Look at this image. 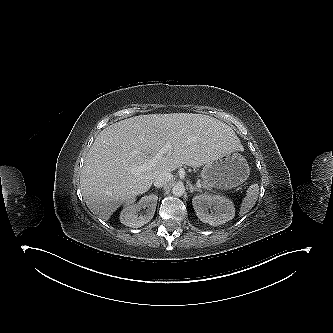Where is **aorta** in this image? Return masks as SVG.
Instances as JSON below:
<instances>
[{"label": "aorta", "instance_id": "1", "mask_svg": "<svg viewBox=\"0 0 333 333\" xmlns=\"http://www.w3.org/2000/svg\"><path fill=\"white\" fill-rule=\"evenodd\" d=\"M172 193L174 196L180 197L185 193V186L183 185V183H176L173 187H172Z\"/></svg>", "mask_w": 333, "mask_h": 333}]
</instances>
